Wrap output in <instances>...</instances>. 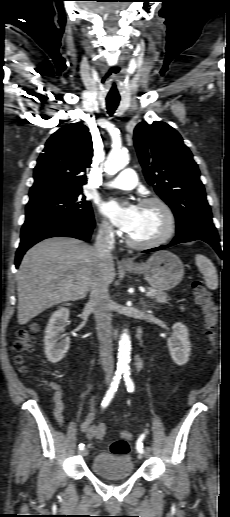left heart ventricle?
<instances>
[{"label":"left heart ventricle","mask_w":230,"mask_h":517,"mask_svg":"<svg viewBox=\"0 0 230 517\" xmlns=\"http://www.w3.org/2000/svg\"><path fill=\"white\" fill-rule=\"evenodd\" d=\"M165 217L156 204L139 207V216L129 236L137 241H148L158 237L164 230Z\"/></svg>","instance_id":"1"}]
</instances>
